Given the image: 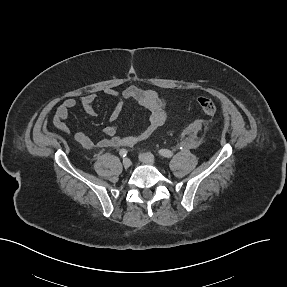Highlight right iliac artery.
Segmentation results:
<instances>
[{"label":"right iliac artery","instance_id":"82829eb1","mask_svg":"<svg viewBox=\"0 0 287 287\" xmlns=\"http://www.w3.org/2000/svg\"><path fill=\"white\" fill-rule=\"evenodd\" d=\"M127 150L126 149H121L120 151H119V154H120V156H122V157H125L126 155H127Z\"/></svg>","mask_w":287,"mask_h":287}]
</instances>
